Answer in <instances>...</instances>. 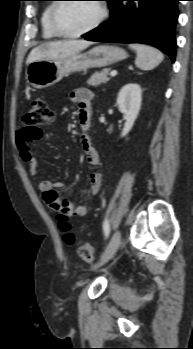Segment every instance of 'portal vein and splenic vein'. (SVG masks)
I'll list each match as a JSON object with an SVG mask.
<instances>
[{"instance_id":"1","label":"portal vein and splenic vein","mask_w":193,"mask_h":349,"mask_svg":"<svg viewBox=\"0 0 193 349\" xmlns=\"http://www.w3.org/2000/svg\"><path fill=\"white\" fill-rule=\"evenodd\" d=\"M117 75V71L116 70H113L110 72V76L114 77Z\"/></svg>"}]
</instances>
